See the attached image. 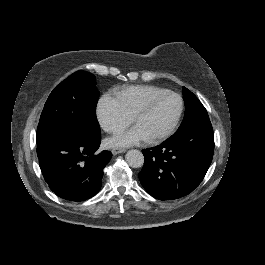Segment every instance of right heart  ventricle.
<instances>
[{
    "label": "right heart ventricle",
    "mask_w": 265,
    "mask_h": 265,
    "mask_svg": "<svg viewBox=\"0 0 265 265\" xmlns=\"http://www.w3.org/2000/svg\"><path fill=\"white\" fill-rule=\"evenodd\" d=\"M160 88L150 85L127 86L116 93V98L124 111L133 116L140 104Z\"/></svg>",
    "instance_id": "1"
}]
</instances>
